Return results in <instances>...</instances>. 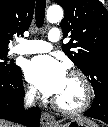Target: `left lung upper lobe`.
<instances>
[{"label":"left lung upper lobe","instance_id":"1","mask_svg":"<svg viewBox=\"0 0 108 127\" xmlns=\"http://www.w3.org/2000/svg\"><path fill=\"white\" fill-rule=\"evenodd\" d=\"M64 9V53L90 78L95 96H108V11L98 0H55Z\"/></svg>","mask_w":108,"mask_h":127}]
</instances>
